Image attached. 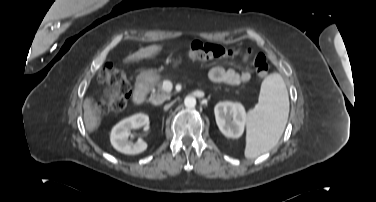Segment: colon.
Returning a JSON list of instances; mask_svg holds the SVG:
<instances>
[{"label": "colon", "mask_w": 376, "mask_h": 202, "mask_svg": "<svg viewBox=\"0 0 376 202\" xmlns=\"http://www.w3.org/2000/svg\"><path fill=\"white\" fill-rule=\"evenodd\" d=\"M186 54L189 58L198 61L225 59L239 55L247 58L253 57V66L258 77L265 78L269 74L266 57L261 53L253 55L251 49L226 48L221 44L196 40L186 47ZM98 79L101 83L109 84L114 89L112 96L99 102V112L108 114L122 110L131 96V86L124 72L115 65L108 63L101 68Z\"/></svg>", "instance_id": "5ec220e1"}]
</instances>
